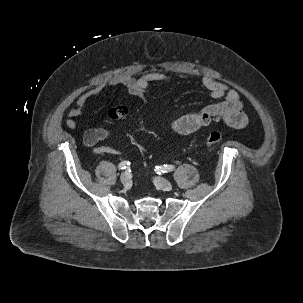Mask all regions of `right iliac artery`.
I'll use <instances>...</instances> for the list:
<instances>
[{"label": "right iliac artery", "instance_id": "right-iliac-artery-1", "mask_svg": "<svg viewBox=\"0 0 303 303\" xmlns=\"http://www.w3.org/2000/svg\"><path fill=\"white\" fill-rule=\"evenodd\" d=\"M129 165H130V162H129V161H122V162L118 165V168H119V170H123V169L128 168Z\"/></svg>", "mask_w": 303, "mask_h": 303}]
</instances>
